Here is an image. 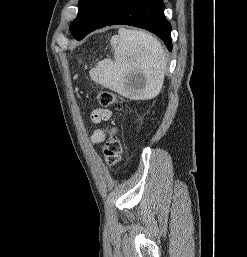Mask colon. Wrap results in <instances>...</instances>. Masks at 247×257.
Instances as JSON below:
<instances>
[{
  "label": "colon",
  "instance_id": "1",
  "mask_svg": "<svg viewBox=\"0 0 247 257\" xmlns=\"http://www.w3.org/2000/svg\"><path fill=\"white\" fill-rule=\"evenodd\" d=\"M98 103L107 107L118 102L117 96L108 90L100 91L97 95ZM107 138L104 144V158L109 167L116 166L122 157V145L117 137V128L114 125L106 127Z\"/></svg>",
  "mask_w": 247,
  "mask_h": 257
}]
</instances>
